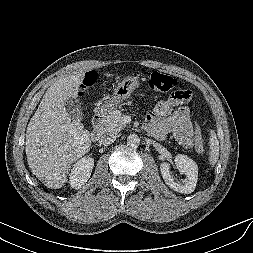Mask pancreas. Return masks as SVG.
<instances>
[{
  "instance_id": "cf45deb5",
  "label": "pancreas",
  "mask_w": 253,
  "mask_h": 253,
  "mask_svg": "<svg viewBox=\"0 0 253 253\" xmlns=\"http://www.w3.org/2000/svg\"><path fill=\"white\" fill-rule=\"evenodd\" d=\"M124 127H126V123L123 121L122 112L120 110H114L104 121L101 133L117 134Z\"/></svg>"
}]
</instances>
